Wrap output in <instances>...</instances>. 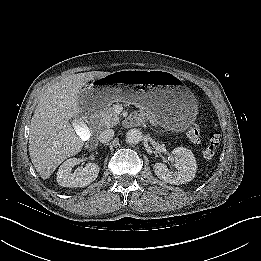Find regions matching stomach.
Wrapping results in <instances>:
<instances>
[{
	"mask_svg": "<svg viewBox=\"0 0 261 261\" xmlns=\"http://www.w3.org/2000/svg\"><path fill=\"white\" fill-rule=\"evenodd\" d=\"M81 107L100 112L113 101L152 109L157 122L171 131L189 128L197 112L194 95L175 74L162 70H121L96 79L82 90Z\"/></svg>",
	"mask_w": 261,
	"mask_h": 261,
	"instance_id": "1",
	"label": "stomach"
}]
</instances>
